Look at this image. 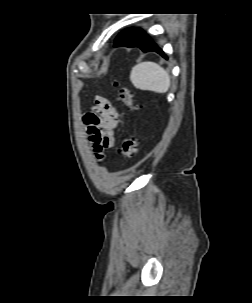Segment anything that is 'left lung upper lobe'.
I'll return each instance as SVG.
<instances>
[{"instance_id": "5c2ea615", "label": "left lung upper lobe", "mask_w": 252, "mask_h": 303, "mask_svg": "<svg viewBox=\"0 0 252 303\" xmlns=\"http://www.w3.org/2000/svg\"><path fill=\"white\" fill-rule=\"evenodd\" d=\"M132 30H133V29H128V30L122 32L121 34H119V36H118V37L116 38V40H115L114 46H115L119 41H121L126 35H128Z\"/></svg>"}]
</instances>
